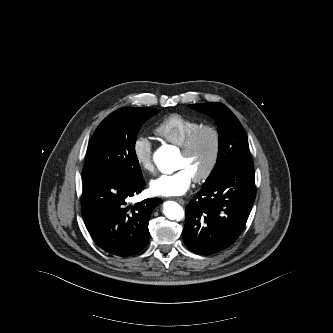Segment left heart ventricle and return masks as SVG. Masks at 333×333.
Masks as SVG:
<instances>
[{"label":"left heart ventricle","instance_id":"1","mask_svg":"<svg viewBox=\"0 0 333 333\" xmlns=\"http://www.w3.org/2000/svg\"><path fill=\"white\" fill-rule=\"evenodd\" d=\"M213 147V138L210 133H203L190 155L179 156L177 168H185L192 177L200 174L207 166Z\"/></svg>","mask_w":333,"mask_h":333}]
</instances>
